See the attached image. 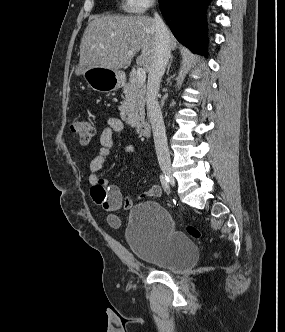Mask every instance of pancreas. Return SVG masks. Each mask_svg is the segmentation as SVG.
Here are the masks:
<instances>
[{
	"label": "pancreas",
	"instance_id": "cf45deb5",
	"mask_svg": "<svg viewBox=\"0 0 285 332\" xmlns=\"http://www.w3.org/2000/svg\"><path fill=\"white\" fill-rule=\"evenodd\" d=\"M146 86L130 74L129 82L123 87L124 100L119 107L121 116L131 124L143 123L145 120Z\"/></svg>",
	"mask_w": 285,
	"mask_h": 332
}]
</instances>
